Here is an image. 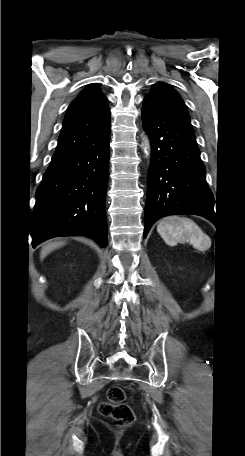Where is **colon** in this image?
<instances>
[{"instance_id": "1", "label": "colon", "mask_w": 245, "mask_h": 456, "mask_svg": "<svg viewBox=\"0 0 245 456\" xmlns=\"http://www.w3.org/2000/svg\"><path fill=\"white\" fill-rule=\"evenodd\" d=\"M102 415L110 417L119 426H127L133 423L135 415L129 405L125 403V392L121 387H110L106 394V400L99 406Z\"/></svg>"}]
</instances>
